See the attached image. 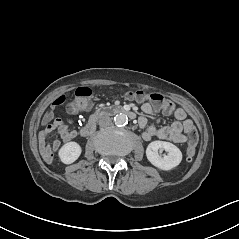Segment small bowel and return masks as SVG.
Here are the masks:
<instances>
[{
    "instance_id": "small-bowel-1",
    "label": "small bowel",
    "mask_w": 239,
    "mask_h": 239,
    "mask_svg": "<svg viewBox=\"0 0 239 239\" xmlns=\"http://www.w3.org/2000/svg\"><path fill=\"white\" fill-rule=\"evenodd\" d=\"M142 110L148 115H155L158 113V108L151 103H144ZM166 115H174L175 121L168 126L156 127L155 125H147V119L140 117L138 122L140 127L145 128L142 137L146 141L152 138H159L162 140H169L175 143H184L187 141V135L190 131L195 130L192 120L187 118V114L182 108L175 109L172 113L164 112ZM71 119L56 117L46 122L39 133V147L40 153L44 161L52 162L54 153L59 150L61 142L54 140L49 143V135L56 130L59 137L64 142H69L77 136V131L71 130L69 124Z\"/></svg>"
}]
</instances>
